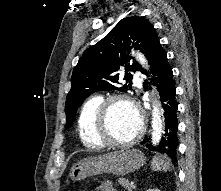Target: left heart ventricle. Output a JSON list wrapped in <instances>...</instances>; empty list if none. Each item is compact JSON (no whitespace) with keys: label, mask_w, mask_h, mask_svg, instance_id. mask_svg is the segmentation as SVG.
<instances>
[{"label":"left heart ventricle","mask_w":221,"mask_h":191,"mask_svg":"<svg viewBox=\"0 0 221 191\" xmlns=\"http://www.w3.org/2000/svg\"><path fill=\"white\" fill-rule=\"evenodd\" d=\"M140 120L136 111L125 103H116L110 109L109 131L115 141L131 139L139 128Z\"/></svg>","instance_id":"b2bd125f"}]
</instances>
